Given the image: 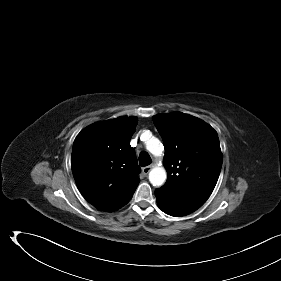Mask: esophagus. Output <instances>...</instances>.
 I'll return each instance as SVG.
<instances>
[{
	"label": "esophagus",
	"mask_w": 281,
	"mask_h": 281,
	"mask_svg": "<svg viewBox=\"0 0 281 281\" xmlns=\"http://www.w3.org/2000/svg\"><path fill=\"white\" fill-rule=\"evenodd\" d=\"M152 167H153V165L143 167L142 172L144 173V175H147L150 172V170L152 169Z\"/></svg>",
	"instance_id": "obj_1"
}]
</instances>
